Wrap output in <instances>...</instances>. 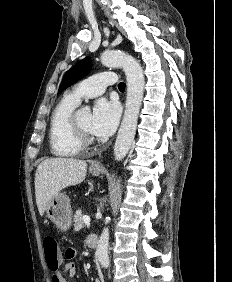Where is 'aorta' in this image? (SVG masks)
<instances>
[{"label":"aorta","instance_id":"1","mask_svg":"<svg viewBox=\"0 0 232 282\" xmlns=\"http://www.w3.org/2000/svg\"><path fill=\"white\" fill-rule=\"evenodd\" d=\"M101 62L107 67L123 68L127 80V97L124 116L114 145L115 160L121 161L128 153L134 140L139 110L143 99L145 79L139 62L120 50L105 51ZM109 229L104 228L98 241L96 256L103 268L110 264L108 255Z\"/></svg>","mask_w":232,"mask_h":282}]
</instances>
